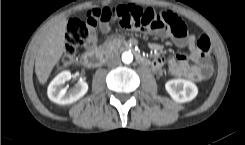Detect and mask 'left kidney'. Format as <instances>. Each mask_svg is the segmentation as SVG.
<instances>
[{
    "instance_id": "5707ae66",
    "label": "left kidney",
    "mask_w": 245,
    "mask_h": 145,
    "mask_svg": "<svg viewBox=\"0 0 245 145\" xmlns=\"http://www.w3.org/2000/svg\"><path fill=\"white\" fill-rule=\"evenodd\" d=\"M166 91L171 98L178 103H185L193 100L198 94L197 86L188 80L172 79L165 84Z\"/></svg>"
}]
</instances>
